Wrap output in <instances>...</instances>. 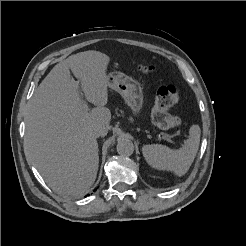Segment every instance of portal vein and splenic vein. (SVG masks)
I'll list each match as a JSON object with an SVG mask.
<instances>
[{"label":"portal vein and splenic vein","instance_id":"portal-vein-and-splenic-vein-1","mask_svg":"<svg viewBox=\"0 0 246 246\" xmlns=\"http://www.w3.org/2000/svg\"><path fill=\"white\" fill-rule=\"evenodd\" d=\"M80 96H81V102H82V105H83V109L85 111H88V105H87L86 101L83 100V98H82L83 94L80 93ZM162 138L165 139V140L171 141L167 136H162Z\"/></svg>","mask_w":246,"mask_h":246}]
</instances>
